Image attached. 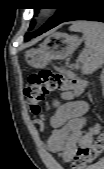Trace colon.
Wrapping results in <instances>:
<instances>
[{
    "label": "colon",
    "instance_id": "1",
    "mask_svg": "<svg viewBox=\"0 0 104 169\" xmlns=\"http://www.w3.org/2000/svg\"><path fill=\"white\" fill-rule=\"evenodd\" d=\"M28 82L24 94L34 115L41 112L42 104L49 93L71 90L77 95H81L86 88L85 81L70 78L64 72H55L50 69H42L37 73H32L28 78ZM103 148V136H98L90 145L80 147L73 157L71 168L85 169L88 164L97 159Z\"/></svg>",
    "mask_w": 104,
    "mask_h": 169
}]
</instances>
